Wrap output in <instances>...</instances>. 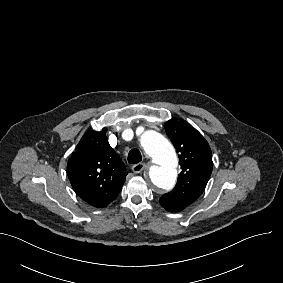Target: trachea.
I'll use <instances>...</instances> for the list:
<instances>
[{"label": "trachea", "instance_id": "obj_1", "mask_svg": "<svg viewBox=\"0 0 283 283\" xmlns=\"http://www.w3.org/2000/svg\"><path fill=\"white\" fill-rule=\"evenodd\" d=\"M142 161V155L136 148L132 149L128 153V162L130 164H137Z\"/></svg>", "mask_w": 283, "mask_h": 283}]
</instances>
